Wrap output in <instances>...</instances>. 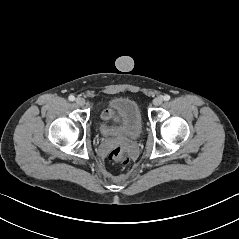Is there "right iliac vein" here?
Masks as SVG:
<instances>
[{"label":"right iliac vein","mask_w":239,"mask_h":239,"mask_svg":"<svg viewBox=\"0 0 239 239\" xmlns=\"http://www.w3.org/2000/svg\"><path fill=\"white\" fill-rule=\"evenodd\" d=\"M75 102L78 106H83L85 104V99L82 97H77Z\"/></svg>","instance_id":"right-iliac-vein-1"}]
</instances>
